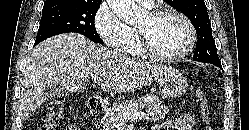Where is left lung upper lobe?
I'll list each match as a JSON object with an SVG mask.
<instances>
[{
  "label": "left lung upper lobe",
  "instance_id": "5c2ea615",
  "mask_svg": "<svg viewBox=\"0 0 249 130\" xmlns=\"http://www.w3.org/2000/svg\"><path fill=\"white\" fill-rule=\"evenodd\" d=\"M165 2L185 14L195 27L198 43L193 60L220 64L204 0H166Z\"/></svg>",
  "mask_w": 249,
  "mask_h": 130
}]
</instances>
